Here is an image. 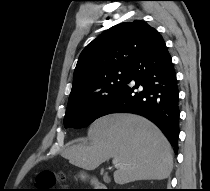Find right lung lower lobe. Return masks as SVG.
Listing matches in <instances>:
<instances>
[{
	"mask_svg": "<svg viewBox=\"0 0 210 191\" xmlns=\"http://www.w3.org/2000/svg\"><path fill=\"white\" fill-rule=\"evenodd\" d=\"M129 74L126 84L109 99L99 117L121 112L142 115L162 130L176 152L179 90L171 56L160 34L134 59Z\"/></svg>",
	"mask_w": 210,
	"mask_h": 191,
	"instance_id": "right-lung-lower-lobe-1",
	"label": "right lung lower lobe"
}]
</instances>
